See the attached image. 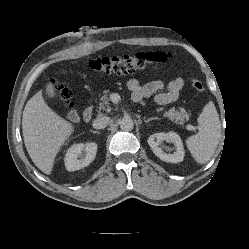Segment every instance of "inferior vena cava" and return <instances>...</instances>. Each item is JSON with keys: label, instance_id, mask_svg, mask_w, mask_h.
Wrapping results in <instances>:
<instances>
[{"label": "inferior vena cava", "instance_id": "602c4592", "mask_svg": "<svg viewBox=\"0 0 249 249\" xmlns=\"http://www.w3.org/2000/svg\"><path fill=\"white\" fill-rule=\"evenodd\" d=\"M110 121V118L107 116H102L94 119L92 126L95 129H104Z\"/></svg>", "mask_w": 249, "mask_h": 249}]
</instances>
